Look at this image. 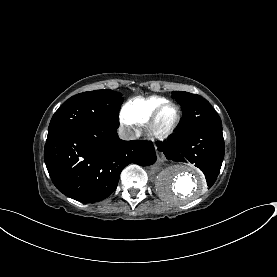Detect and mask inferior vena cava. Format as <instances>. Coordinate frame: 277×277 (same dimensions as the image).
<instances>
[{
	"instance_id": "obj_1",
	"label": "inferior vena cava",
	"mask_w": 277,
	"mask_h": 277,
	"mask_svg": "<svg viewBox=\"0 0 277 277\" xmlns=\"http://www.w3.org/2000/svg\"><path fill=\"white\" fill-rule=\"evenodd\" d=\"M119 138L122 140H134L136 139L135 133L130 128H125L123 126L118 129Z\"/></svg>"
}]
</instances>
